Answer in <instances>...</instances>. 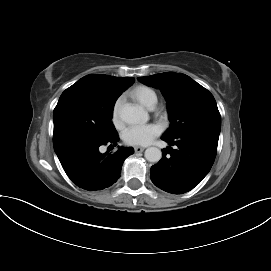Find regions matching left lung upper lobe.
I'll return each instance as SVG.
<instances>
[{
  "instance_id": "5c2ea615",
  "label": "left lung upper lobe",
  "mask_w": 271,
  "mask_h": 271,
  "mask_svg": "<svg viewBox=\"0 0 271 271\" xmlns=\"http://www.w3.org/2000/svg\"><path fill=\"white\" fill-rule=\"evenodd\" d=\"M138 80L159 88L167 101L170 128L163 137L208 131L220 133L221 116L213 95L189 76L165 72Z\"/></svg>"
}]
</instances>
